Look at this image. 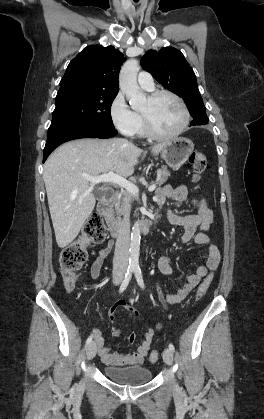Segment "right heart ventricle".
<instances>
[{"label": "right heart ventricle", "mask_w": 264, "mask_h": 419, "mask_svg": "<svg viewBox=\"0 0 264 419\" xmlns=\"http://www.w3.org/2000/svg\"><path fill=\"white\" fill-rule=\"evenodd\" d=\"M138 115L140 117V128H139L138 133L144 135L146 133L144 119H143V116L141 114H138Z\"/></svg>", "instance_id": "right-heart-ventricle-1"}]
</instances>
